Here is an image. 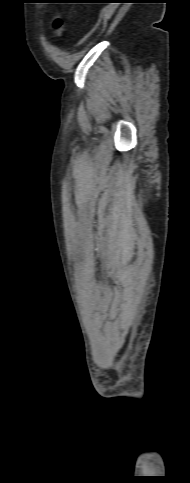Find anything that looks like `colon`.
Listing matches in <instances>:
<instances>
[{
	"label": "colon",
	"mask_w": 190,
	"mask_h": 483,
	"mask_svg": "<svg viewBox=\"0 0 190 483\" xmlns=\"http://www.w3.org/2000/svg\"><path fill=\"white\" fill-rule=\"evenodd\" d=\"M63 23L59 15L54 16L52 20V28L54 32L59 35L62 31Z\"/></svg>",
	"instance_id": "5ec220e1"
}]
</instances>
